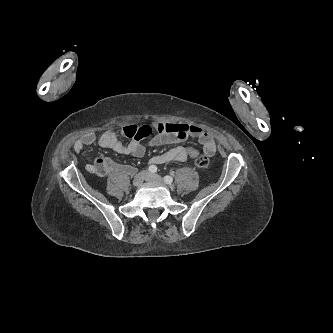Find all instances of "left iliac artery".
<instances>
[{"instance_id": "1", "label": "left iliac artery", "mask_w": 333, "mask_h": 333, "mask_svg": "<svg viewBox=\"0 0 333 333\" xmlns=\"http://www.w3.org/2000/svg\"><path fill=\"white\" fill-rule=\"evenodd\" d=\"M164 182L167 183V184H171L173 182V177L171 176H165L164 177Z\"/></svg>"}]
</instances>
